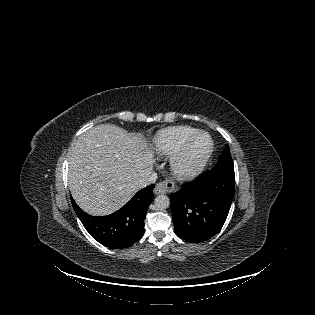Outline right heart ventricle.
Returning <instances> with one entry per match:
<instances>
[{
    "label": "right heart ventricle",
    "mask_w": 315,
    "mask_h": 315,
    "mask_svg": "<svg viewBox=\"0 0 315 315\" xmlns=\"http://www.w3.org/2000/svg\"><path fill=\"white\" fill-rule=\"evenodd\" d=\"M198 131V129L190 126H172L160 130L153 138V150L161 157L172 156L189 137Z\"/></svg>",
    "instance_id": "obj_1"
}]
</instances>
